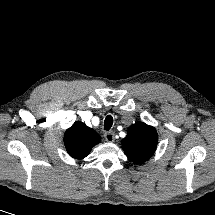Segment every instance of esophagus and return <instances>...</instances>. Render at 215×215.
Returning a JSON list of instances; mask_svg holds the SVG:
<instances>
[{"label": "esophagus", "mask_w": 215, "mask_h": 215, "mask_svg": "<svg viewBox=\"0 0 215 215\" xmlns=\"http://www.w3.org/2000/svg\"><path fill=\"white\" fill-rule=\"evenodd\" d=\"M104 138L107 142H114L115 140V134L113 132H106L104 134Z\"/></svg>", "instance_id": "1"}]
</instances>
